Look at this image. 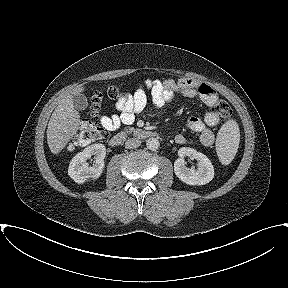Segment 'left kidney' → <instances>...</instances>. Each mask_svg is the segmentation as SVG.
Returning <instances> with one entry per match:
<instances>
[{"mask_svg": "<svg viewBox=\"0 0 288 288\" xmlns=\"http://www.w3.org/2000/svg\"><path fill=\"white\" fill-rule=\"evenodd\" d=\"M179 158L174 162V172L176 176L188 185H205L214 178V168L209 158L203 153L192 148H180ZM189 156L197 160L198 168H188L184 157Z\"/></svg>", "mask_w": 288, "mask_h": 288, "instance_id": "obj_1", "label": "left kidney"}]
</instances>
